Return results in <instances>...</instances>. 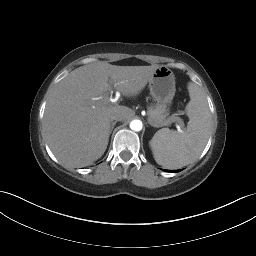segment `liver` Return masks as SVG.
<instances>
[{
    "mask_svg": "<svg viewBox=\"0 0 256 256\" xmlns=\"http://www.w3.org/2000/svg\"><path fill=\"white\" fill-rule=\"evenodd\" d=\"M160 66H117L96 62L71 71L55 87L46 105L43 130L47 143L64 165L83 167L105 152L110 116L127 120L133 111L113 105L107 92L114 88L125 96L138 95Z\"/></svg>",
    "mask_w": 256,
    "mask_h": 256,
    "instance_id": "liver-1",
    "label": "liver"
}]
</instances>
